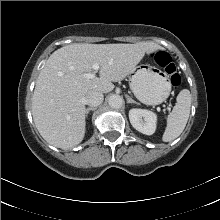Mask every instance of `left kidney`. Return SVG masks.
Listing matches in <instances>:
<instances>
[{
  "label": "left kidney",
  "instance_id": "1",
  "mask_svg": "<svg viewBox=\"0 0 220 220\" xmlns=\"http://www.w3.org/2000/svg\"><path fill=\"white\" fill-rule=\"evenodd\" d=\"M131 125L145 135H152L156 130L157 115L146 109L133 108L129 111Z\"/></svg>",
  "mask_w": 220,
  "mask_h": 220
}]
</instances>
